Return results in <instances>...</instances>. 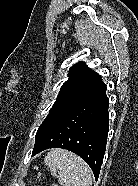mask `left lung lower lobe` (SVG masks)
<instances>
[{"label": "left lung lower lobe", "mask_w": 138, "mask_h": 186, "mask_svg": "<svg viewBox=\"0 0 138 186\" xmlns=\"http://www.w3.org/2000/svg\"><path fill=\"white\" fill-rule=\"evenodd\" d=\"M108 106L103 83L35 141L32 155L49 148L67 149L88 163L97 180L106 151Z\"/></svg>", "instance_id": "0a47b994"}]
</instances>
